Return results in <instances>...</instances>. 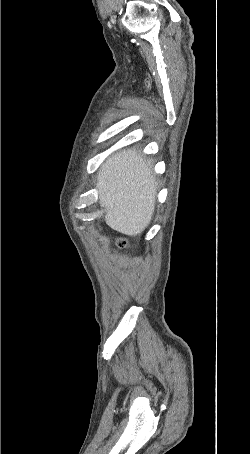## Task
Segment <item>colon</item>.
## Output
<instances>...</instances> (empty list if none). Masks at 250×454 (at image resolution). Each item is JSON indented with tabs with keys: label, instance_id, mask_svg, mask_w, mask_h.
I'll list each match as a JSON object with an SVG mask.
<instances>
[{
	"label": "colon",
	"instance_id": "1",
	"mask_svg": "<svg viewBox=\"0 0 250 454\" xmlns=\"http://www.w3.org/2000/svg\"><path fill=\"white\" fill-rule=\"evenodd\" d=\"M126 245H127V242L124 239H121V240L117 241V247L118 248H124V247H126Z\"/></svg>",
	"mask_w": 250,
	"mask_h": 454
}]
</instances>
